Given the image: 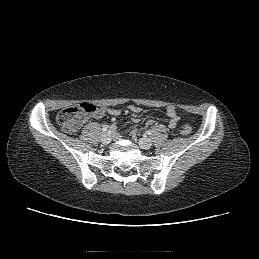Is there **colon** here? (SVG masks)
Here are the masks:
<instances>
[{"mask_svg":"<svg viewBox=\"0 0 259 259\" xmlns=\"http://www.w3.org/2000/svg\"><path fill=\"white\" fill-rule=\"evenodd\" d=\"M98 108L92 103H80L74 106L62 109L57 114V123L66 133H75L86 120V118L96 112ZM192 128L185 124L181 128V134L189 136Z\"/></svg>","mask_w":259,"mask_h":259,"instance_id":"colon-1","label":"colon"}]
</instances>
